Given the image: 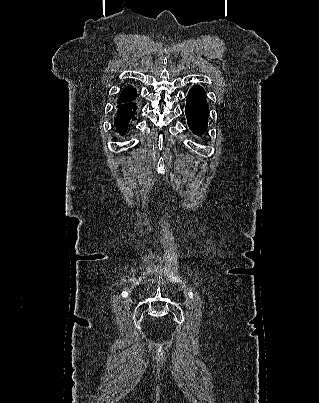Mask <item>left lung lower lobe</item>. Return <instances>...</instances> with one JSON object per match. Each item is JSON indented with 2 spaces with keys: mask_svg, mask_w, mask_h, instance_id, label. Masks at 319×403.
<instances>
[{
  "mask_svg": "<svg viewBox=\"0 0 319 403\" xmlns=\"http://www.w3.org/2000/svg\"><path fill=\"white\" fill-rule=\"evenodd\" d=\"M185 113L191 131L196 135H202L207 129L209 106L206 102V93L199 85L193 86L189 91Z\"/></svg>",
  "mask_w": 319,
  "mask_h": 403,
  "instance_id": "1",
  "label": "left lung lower lobe"
}]
</instances>
